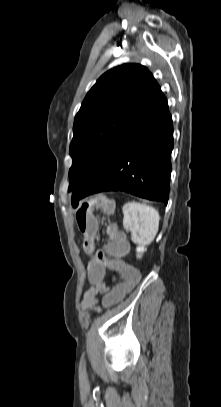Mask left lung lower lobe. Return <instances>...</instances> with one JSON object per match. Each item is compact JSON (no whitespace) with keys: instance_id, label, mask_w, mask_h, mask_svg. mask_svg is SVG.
Here are the masks:
<instances>
[{"instance_id":"left-lung-lower-lobe-1","label":"left lung lower lobe","mask_w":221,"mask_h":407,"mask_svg":"<svg viewBox=\"0 0 221 407\" xmlns=\"http://www.w3.org/2000/svg\"><path fill=\"white\" fill-rule=\"evenodd\" d=\"M172 149V118L158 86L128 124L95 178L73 198V207L80 199L104 191H125L167 205Z\"/></svg>"}]
</instances>
